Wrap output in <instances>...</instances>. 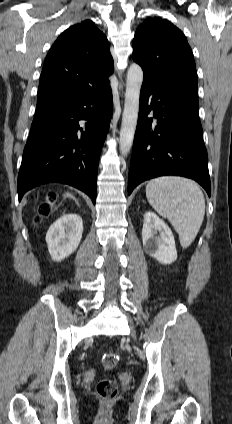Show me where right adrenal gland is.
<instances>
[{
	"instance_id": "obj_1",
	"label": "right adrenal gland",
	"mask_w": 232,
	"mask_h": 424,
	"mask_svg": "<svg viewBox=\"0 0 232 424\" xmlns=\"http://www.w3.org/2000/svg\"><path fill=\"white\" fill-rule=\"evenodd\" d=\"M75 202H76V204L80 207V205H79V203H78V201L75 199Z\"/></svg>"
}]
</instances>
